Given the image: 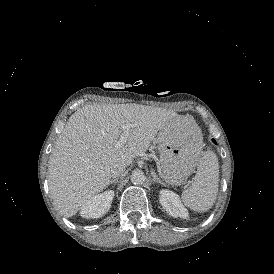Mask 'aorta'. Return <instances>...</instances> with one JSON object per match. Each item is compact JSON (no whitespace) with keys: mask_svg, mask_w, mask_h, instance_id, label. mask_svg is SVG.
I'll return each instance as SVG.
<instances>
[{"mask_svg":"<svg viewBox=\"0 0 274 274\" xmlns=\"http://www.w3.org/2000/svg\"><path fill=\"white\" fill-rule=\"evenodd\" d=\"M146 180L145 174L141 170H135L131 174V181L133 184H142Z\"/></svg>","mask_w":274,"mask_h":274,"instance_id":"1","label":"aorta"}]
</instances>
